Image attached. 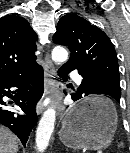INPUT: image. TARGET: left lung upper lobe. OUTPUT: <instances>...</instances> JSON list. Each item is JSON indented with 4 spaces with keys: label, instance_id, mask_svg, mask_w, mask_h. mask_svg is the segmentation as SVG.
<instances>
[{
    "label": "left lung upper lobe",
    "instance_id": "obj_1",
    "mask_svg": "<svg viewBox=\"0 0 130 153\" xmlns=\"http://www.w3.org/2000/svg\"><path fill=\"white\" fill-rule=\"evenodd\" d=\"M53 41L71 51L63 66L89 72L113 97L120 99L117 55L108 36L76 14H66L58 22ZM80 89L78 88L77 93Z\"/></svg>",
    "mask_w": 130,
    "mask_h": 153
}]
</instances>
